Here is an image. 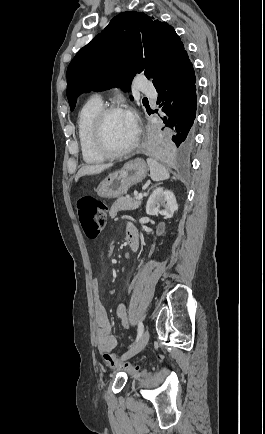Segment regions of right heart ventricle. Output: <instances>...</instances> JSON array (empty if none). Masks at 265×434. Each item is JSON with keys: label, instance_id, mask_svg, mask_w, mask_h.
<instances>
[{"label": "right heart ventricle", "instance_id": "right-heart-ventricle-1", "mask_svg": "<svg viewBox=\"0 0 265 434\" xmlns=\"http://www.w3.org/2000/svg\"><path fill=\"white\" fill-rule=\"evenodd\" d=\"M102 109L100 100L90 99L77 115V140L82 160L87 165H99L106 160L95 141V123Z\"/></svg>", "mask_w": 265, "mask_h": 434}]
</instances>
